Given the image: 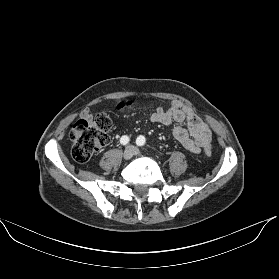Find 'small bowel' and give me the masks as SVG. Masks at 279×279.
<instances>
[{"label": "small bowel", "instance_id": "small-bowel-1", "mask_svg": "<svg viewBox=\"0 0 279 279\" xmlns=\"http://www.w3.org/2000/svg\"><path fill=\"white\" fill-rule=\"evenodd\" d=\"M82 117L90 118L92 115L84 111ZM150 121L166 126L175 124L173 136L192 153H201L206 146L211 145V131L208 125L180 100H173L167 107H158L150 116ZM185 123L187 128L184 127Z\"/></svg>", "mask_w": 279, "mask_h": 279}]
</instances>
